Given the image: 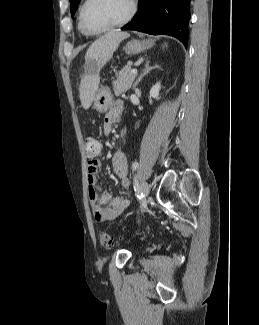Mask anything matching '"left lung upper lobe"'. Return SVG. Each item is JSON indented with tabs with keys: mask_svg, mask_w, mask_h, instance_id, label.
Returning <instances> with one entry per match:
<instances>
[{
	"mask_svg": "<svg viewBox=\"0 0 259 325\" xmlns=\"http://www.w3.org/2000/svg\"><path fill=\"white\" fill-rule=\"evenodd\" d=\"M79 2H80V0H70V11H71L72 16L74 15Z\"/></svg>",
	"mask_w": 259,
	"mask_h": 325,
	"instance_id": "1",
	"label": "left lung upper lobe"
}]
</instances>
